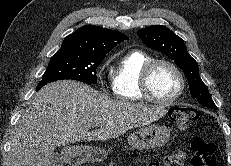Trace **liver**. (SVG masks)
Returning <instances> with one entry per match:
<instances>
[{"mask_svg": "<svg viewBox=\"0 0 231 166\" xmlns=\"http://www.w3.org/2000/svg\"><path fill=\"white\" fill-rule=\"evenodd\" d=\"M165 114L161 106L114 101L77 81L53 82L35 94L21 115L11 138L10 162L47 166L56 146L116 138Z\"/></svg>", "mask_w": 231, "mask_h": 166, "instance_id": "obj_1", "label": "liver"}]
</instances>
